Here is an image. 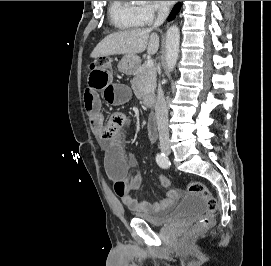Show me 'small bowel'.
Masks as SVG:
<instances>
[{"instance_id":"1","label":"small bowel","mask_w":271,"mask_h":266,"mask_svg":"<svg viewBox=\"0 0 271 266\" xmlns=\"http://www.w3.org/2000/svg\"><path fill=\"white\" fill-rule=\"evenodd\" d=\"M98 92L103 94L107 102L121 104L129 99L130 91L126 85L114 83L111 68H90L84 92V107L94 136L100 141L110 142L105 171L115 194L121 198L126 207L136 212L153 213L170 208L178 198V192L174 189H169L160 202L142 201L132 196V192L142 186L143 178L140 174L128 175L129 167L135 159L128 160L121 147L122 130L127 119L124 114L116 112L105 123ZM158 180L164 187H170V180L165 175L160 174Z\"/></svg>"}]
</instances>
